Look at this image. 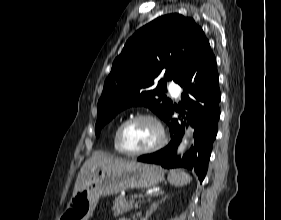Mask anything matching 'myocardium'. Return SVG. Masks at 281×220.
I'll list each match as a JSON object with an SVG mask.
<instances>
[{"label":"myocardium","instance_id":"myocardium-1","mask_svg":"<svg viewBox=\"0 0 281 220\" xmlns=\"http://www.w3.org/2000/svg\"><path fill=\"white\" fill-rule=\"evenodd\" d=\"M139 120H149V121L155 123L159 129L160 138L156 144H154L153 146H151L149 148L142 149V150H131V149H128L124 144L123 134H124L125 129L130 124H132L133 122L139 121ZM166 142H167V134H166L163 124L157 117H155L151 114L141 113V114H136V115L126 119L119 125L117 132H116V144H117L118 149L123 154L129 155V156H139V155H145V154H150V153L156 152V151L160 150L162 147H164Z\"/></svg>","mask_w":281,"mask_h":220}]
</instances>
